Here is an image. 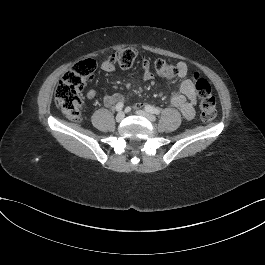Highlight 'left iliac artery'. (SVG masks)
<instances>
[{
    "label": "left iliac artery",
    "instance_id": "1",
    "mask_svg": "<svg viewBox=\"0 0 265 265\" xmlns=\"http://www.w3.org/2000/svg\"><path fill=\"white\" fill-rule=\"evenodd\" d=\"M145 110L147 112H150V113H153V114H156V115H159L161 113L160 109L155 108V107L150 106V105L145 106Z\"/></svg>",
    "mask_w": 265,
    "mask_h": 265
}]
</instances>
